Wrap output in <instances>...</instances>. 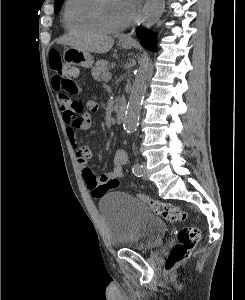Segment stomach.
<instances>
[{
    "instance_id": "1",
    "label": "stomach",
    "mask_w": 245,
    "mask_h": 300,
    "mask_svg": "<svg viewBox=\"0 0 245 300\" xmlns=\"http://www.w3.org/2000/svg\"><path fill=\"white\" fill-rule=\"evenodd\" d=\"M120 46L125 49H128L131 47V43L120 42ZM63 59L66 63L84 68H90L94 62L93 56L89 52L81 51L74 47H69L65 49L63 53Z\"/></svg>"
}]
</instances>
